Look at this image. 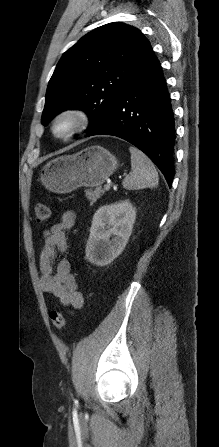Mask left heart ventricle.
Here are the masks:
<instances>
[{"label": "left heart ventricle", "mask_w": 219, "mask_h": 447, "mask_svg": "<svg viewBox=\"0 0 219 447\" xmlns=\"http://www.w3.org/2000/svg\"><path fill=\"white\" fill-rule=\"evenodd\" d=\"M67 124L66 123H60L58 126H57V130L59 131V132H63V131H65L66 129H67Z\"/></svg>", "instance_id": "left-heart-ventricle-1"}]
</instances>
